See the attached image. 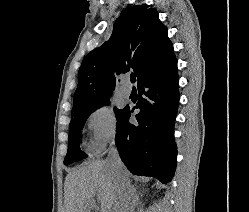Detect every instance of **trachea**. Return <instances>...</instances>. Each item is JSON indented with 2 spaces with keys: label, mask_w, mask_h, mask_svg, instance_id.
<instances>
[{
  "label": "trachea",
  "mask_w": 249,
  "mask_h": 212,
  "mask_svg": "<svg viewBox=\"0 0 249 212\" xmlns=\"http://www.w3.org/2000/svg\"><path fill=\"white\" fill-rule=\"evenodd\" d=\"M130 80H131L132 83L135 82V80H136L135 74H131V75H130ZM134 88H135V87H134Z\"/></svg>",
  "instance_id": "obj_1"
}]
</instances>
